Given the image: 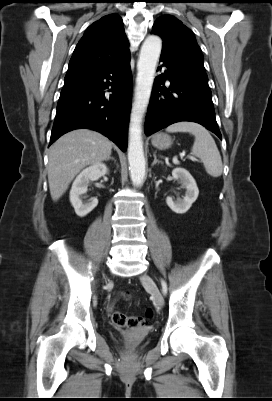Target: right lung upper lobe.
<instances>
[{"label":"right lung upper lobe","mask_w":272,"mask_h":401,"mask_svg":"<svg viewBox=\"0 0 272 401\" xmlns=\"http://www.w3.org/2000/svg\"><path fill=\"white\" fill-rule=\"evenodd\" d=\"M127 53L128 40L121 17L106 15L91 24L78 42L69 62L65 84L94 75Z\"/></svg>","instance_id":"cb5924a9"}]
</instances>
